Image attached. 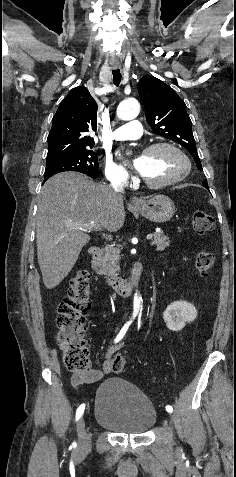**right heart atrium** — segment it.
<instances>
[{
    "mask_svg": "<svg viewBox=\"0 0 236 477\" xmlns=\"http://www.w3.org/2000/svg\"><path fill=\"white\" fill-rule=\"evenodd\" d=\"M105 176L113 184H124L130 178L129 173L111 159L105 161Z\"/></svg>",
    "mask_w": 236,
    "mask_h": 477,
    "instance_id": "1",
    "label": "right heart atrium"
}]
</instances>
